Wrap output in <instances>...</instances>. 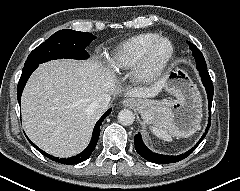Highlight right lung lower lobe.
I'll use <instances>...</instances> for the list:
<instances>
[{
    "mask_svg": "<svg viewBox=\"0 0 240 191\" xmlns=\"http://www.w3.org/2000/svg\"><path fill=\"white\" fill-rule=\"evenodd\" d=\"M38 67V65L36 66H32V67H28L26 69L22 70V74L20 77V80L18 82V87H17V99H18V103L20 104V100H21V95L23 92V89L25 87V84L27 82V80L29 79V76L33 73V71ZM112 109H109L100 119L99 121L96 123L94 130H93V136L91 139L90 144L88 145V147L81 152L80 154L70 157V158H57V157H53L47 153H45L43 150L39 149L34 143H32L30 140L29 142H31V144L40 152L42 153L44 156L48 157L49 159H52L56 162H59L61 164H66V165H73V164H77L80 162H83L85 160H87L90 155L92 154V152L94 151L98 138H99V134H100V125L101 122L103 121V119H105L110 113H111Z\"/></svg>",
    "mask_w": 240,
    "mask_h": 191,
    "instance_id": "obj_1",
    "label": "right lung lower lobe"
}]
</instances>
